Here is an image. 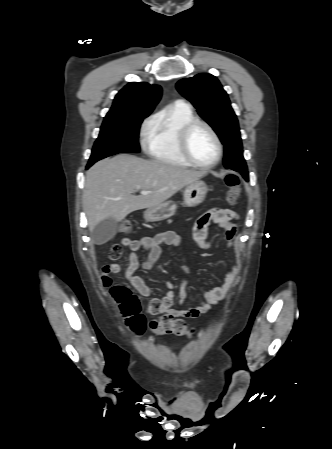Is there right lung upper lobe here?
<instances>
[{
  "instance_id": "obj_1",
  "label": "right lung upper lobe",
  "mask_w": 332,
  "mask_h": 449,
  "mask_svg": "<svg viewBox=\"0 0 332 449\" xmlns=\"http://www.w3.org/2000/svg\"><path fill=\"white\" fill-rule=\"evenodd\" d=\"M161 94L159 85L131 82L117 93L105 118L148 116L159 102Z\"/></svg>"
}]
</instances>
